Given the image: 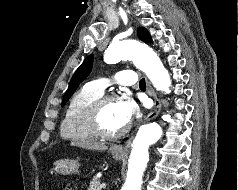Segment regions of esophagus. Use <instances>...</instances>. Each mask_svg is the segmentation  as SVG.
Masks as SVG:
<instances>
[{"instance_id": "34e87169", "label": "esophagus", "mask_w": 238, "mask_h": 190, "mask_svg": "<svg viewBox=\"0 0 238 190\" xmlns=\"http://www.w3.org/2000/svg\"><path fill=\"white\" fill-rule=\"evenodd\" d=\"M146 85H147L148 94L154 100V107H153L152 111L149 112V114L145 117V121H149V120L153 119L154 117H156L158 115V113L160 112L161 102L158 99L155 91L153 90V88L151 87L150 83L147 80H146ZM115 149L119 150V151H122L123 148L121 146H116Z\"/></svg>"}]
</instances>
